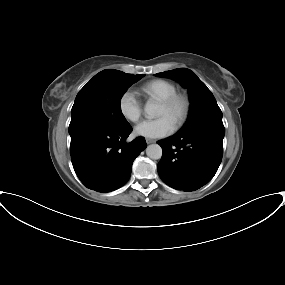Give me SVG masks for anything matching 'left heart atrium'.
<instances>
[{
    "instance_id": "left-heart-atrium-1",
    "label": "left heart atrium",
    "mask_w": 285,
    "mask_h": 285,
    "mask_svg": "<svg viewBox=\"0 0 285 285\" xmlns=\"http://www.w3.org/2000/svg\"><path fill=\"white\" fill-rule=\"evenodd\" d=\"M175 129L174 123L166 116L144 120L135 127V134L153 139L170 135Z\"/></svg>"
}]
</instances>
